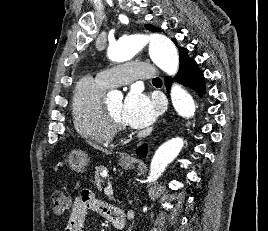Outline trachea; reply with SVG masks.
Instances as JSON below:
<instances>
[{
	"label": "trachea",
	"instance_id": "obj_1",
	"mask_svg": "<svg viewBox=\"0 0 268 231\" xmlns=\"http://www.w3.org/2000/svg\"><path fill=\"white\" fill-rule=\"evenodd\" d=\"M153 82H161V79L160 78H155V79H153Z\"/></svg>",
	"mask_w": 268,
	"mask_h": 231
}]
</instances>
